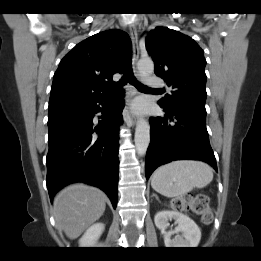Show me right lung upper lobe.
Returning <instances> with one entry per match:
<instances>
[{
	"mask_svg": "<svg viewBox=\"0 0 261 261\" xmlns=\"http://www.w3.org/2000/svg\"><path fill=\"white\" fill-rule=\"evenodd\" d=\"M131 41L127 33L112 29L78 43L61 60L51 87L49 104L78 103L115 91L112 76L125 73Z\"/></svg>",
	"mask_w": 261,
	"mask_h": 261,
	"instance_id": "1",
	"label": "right lung upper lobe"
}]
</instances>
